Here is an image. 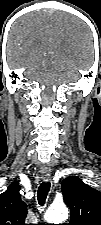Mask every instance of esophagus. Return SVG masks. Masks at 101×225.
Listing matches in <instances>:
<instances>
[{
    "instance_id": "esophagus-1",
    "label": "esophagus",
    "mask_w": 101,
    "mask_h": 225,
    "mask_svg": "<svg viewBox=\"0 0 101 225\" xmlns=\"http://www.w3.org/2000/svg\"><path fill=\"white\" fill-rule=\"evenodd\" d=\"M42 179L44 180V181H49L50 180V175H43L42 176Z\"/></svg>"
}]
</instances>
